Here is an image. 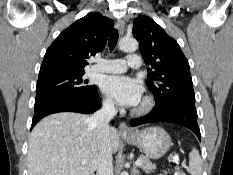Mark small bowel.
Returning <instances> with one entry per match:
<instances>
[{"mask_svg":"<svg viewBox=\"0 0 233 175\" xmlns=\"http://www.w3.org/2000/svg\"><path fill=\"white\" fill-rule=\"evenodd\" d=\"M158 175H166V174H158Z\"/></svg>","mask_w":233,"mask_h":175,"instance_id":"1","label":"small bowel"}]
</instances>
